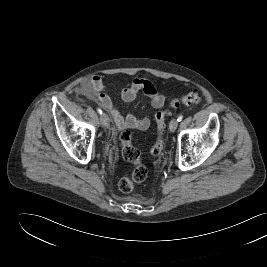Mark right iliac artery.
I'll return each instance as SVG.
<instances>
[{"label":"right iliac artery","mask_w":267,"mask_h":267,"mask_svg":"<svg viewBox=\"0 0 267 267\" xmlns=\"http://www.w3.org/2000/svg\"><path fill=\"white\" fill-rule=\"evenodd\" d=\"M99 114H102V110L101 109H97Z\"/></svg>","instance_id":"right-iliac-artery-1"}]
</instances>
